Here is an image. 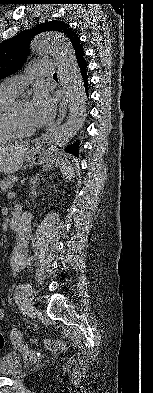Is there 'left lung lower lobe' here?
Returning <instances> with one entry per match:
<instances>
[{
  "instance_id": "obj_1",
  "label": "left lung lower lobe",
  "mask_w": 153,
  "mask_h": 393,
  "mask_svg": "<svg viewBox=\"0 0 153 393\" xmlns=\"http://www.w3.org/2000/svg\"><path fill=\"white\" fill-rule=\"evenodd\" d=\"M76 55V54H75ZM84 52H80L76 55L77 63L80 69L81 77L84 83L85 91L87 93L88 89V79H87V63L84 58ZM77 144H73L72 146L67 147L65 150L69 153H72L77 156Z\"/></svg>"
}]
</instances>
